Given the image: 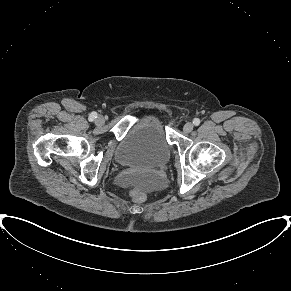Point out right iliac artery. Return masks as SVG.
Masks as SVG:
<instances>
[{"instance_id": "82829eb1", "label": "right iliac artery", "mask_w": 291, "mask_h": 291, "mask_svg": "<svg viewBox=\"0 0 291 291\" xmlns=\"http://www.w3.org/2000/svg\"><path fill=\"white\" fill-rule=\"evenodd\" d=\"M97 117V113L96 112H92L89 116V121H93L95 118Z\"/></svg>"}]
</instances>
